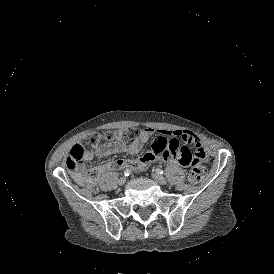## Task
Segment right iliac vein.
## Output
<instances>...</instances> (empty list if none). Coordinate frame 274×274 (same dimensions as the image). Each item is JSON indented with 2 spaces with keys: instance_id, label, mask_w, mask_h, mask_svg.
I'll return each mask as SVG.
<instances>
[{
  "instance_id": "63e3f726",
  "label": "right iliac vein",
  "mask_w": 274,
  "mask_h": 274,
  "mask_svg": "<svg viewBox=\"0 0 274 274\" xmlns=\"http://www.w3.org/2000/svg\"><path fill=\"white\" fill-rule=\"evenodd\" d=\"M126 177H121L120 179H119V181H118V183L120 184V185H124L125 183H126Z\"/></svg>"
}]
</instances>
